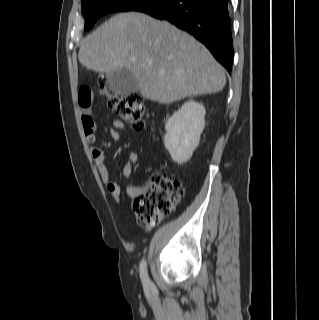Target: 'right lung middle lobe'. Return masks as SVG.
<instances>
[{
    "mask_svg": "<svg viewBox=\"0 0 319 320\" xmlns=\"http://www.w3.org/2000/svg\"><path fill=\"white\" fill-rule=\"evenodd\" d=\"M157 0H83L82 12L85 17V30L93 27L97 19L111 12L137 11Z\"/></svg>",
    "mask_w": 319,
    "mask_h": 320,
    "instance_id": "obj_1",
    "label": "right lung middle lobe"
}]
</instances>
